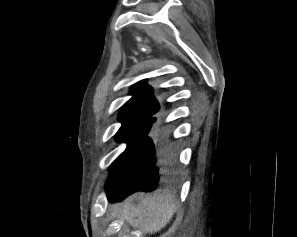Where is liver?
<instances>
[{
  "label": "liver",
  "instance_id": "obj_1",
  "mask_svg": "<svg viewBox=\"0 0 297 237\" xmlns=\"http://www.w3.org/2000/svg\"><path fill=\"white\" fill-rule=\"evenodd\" d=\"M134 201L138 203L135 204ZM176 205L167 193L147 195L137 193L118 207L120 217L144 234H155L172 219Z\"/></svg>",
  "mask_w": 297,
  "mask_h": 237
}]
</instances>
